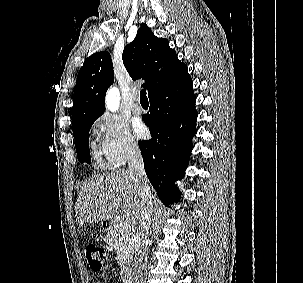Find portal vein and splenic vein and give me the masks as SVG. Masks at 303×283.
<instances>
[{
  "mask_svg": "<svg viewBox=\"0 0 303 283\" xmlns=\"http://www.w3.org/2000/svg\"><path fill=\"white\" fill-rule=\"evenodd\" d=\"M122 225H123V226H129L128 223H126V222H123ZM129 227H130V226H129Z\"/></svg>",
  "mask_w": 303,
  "mask_h": 283,
  "instance_id": "1",
  "label": "portal vein and splenic vein"
}]
</instances>
